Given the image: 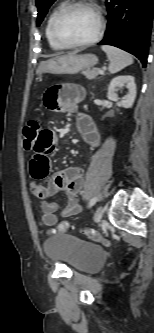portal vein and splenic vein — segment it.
Wrapping results in <instances>:
<instances>
[{"label": "portal vein and splenic vein", "instance_id": "obj_1", "mask_svg": "<svg viewBox=\"0 0 154 333\" xmlns=\"http://www.w3.org/2000/svg\"><path fill=\"white\" fill-rule=\"evenodd\" d=\"M100 74H104V69L99 71Z\"/></svg>", "mask_w": 154, "mask_h": 333}]
</instances>
